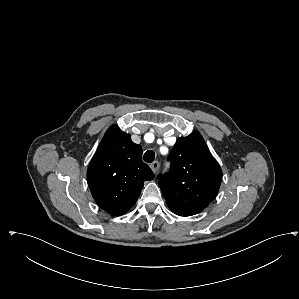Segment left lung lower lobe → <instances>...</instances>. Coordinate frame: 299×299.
<instances>
[{
  "instance_id": "1",
  "label": "left lung lower lobe",
  "mask_w": 299,
  "mask_h": 299,
  "mask_svg": "<svg viewBox=\"0 0 299 299\" xmlns=\"http://www.w3.org/2000/svg\"><path fill=\"white\" fill-rule=\"evenodd\" d=\"M170 209H171V208H170ZM171 211L174 212L175 214L179 215V216H188V215H186V214H183V213H181V212L175 211V210H173V209H171Z\"/></svg>"
}]
</instances>
